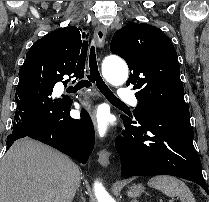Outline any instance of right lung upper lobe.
Returning a JSON list of instances; mask_svg holds the SVG:
<instances>
[{
  "instance_id": "right-lung-upper-lobe-1",
  "label": "right lung upper lobe",
  "mask_w": 209,
  "mask_h": 202,
  "mask_svg": "<svg viewBox=\"0 0 209 202\" xmlns=\"http://www.w3.org/2000/svg\"><path fill=\"white\" fill-rule=\"evenodd\" d=\"M80 31L77 27H64L36 41L26 54L19 77H48L56 82L66 74L82 78L88 42L81 40Z\"/></svg>"
}]
</instances>
